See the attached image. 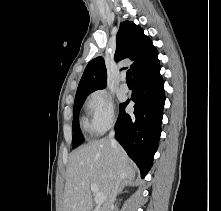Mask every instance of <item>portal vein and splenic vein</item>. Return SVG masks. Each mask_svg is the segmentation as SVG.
Masks as SVG:
<instances>
[{
    "mask_svg": "<svg viewBox=\"0 0 221 211\" xmlns=\"http://www.w3.org/2000/svg\"><path fill=\"white\" fill-rule=\"evenodd\" d=\"M91 191L94 193L95 196V202L97 204H103L105 201V196L103 193L98 191L97 185L96 184H92L91 185Z\"/></svg>",
    "mask_w": 221,
    "mask_h": 211,
    "instance_id": "18ae733b",
    "label": "portal vein and splenic vein"
}]
</instances>
